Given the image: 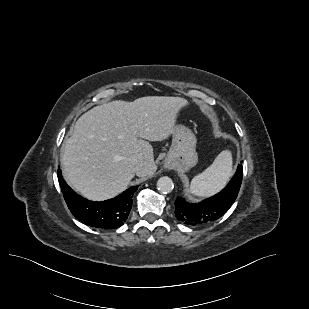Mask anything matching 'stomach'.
Instances as JSON below:
<instances>
[{
	"label": "stomach",
	"instance_id": "stomach-1",
	"mask_svg": "<svg viewBox=\"0 0 309 309\" xmlns=\"http://www.w3.org/2000/svg\"><path fill=\"white\" fill-rule=\"evenodd\" d=\"M195 134L182 124L175 125L172 131V145L165 159L166 166H175L186 172L198 162Z\"/></svg>",
	"mask_w": 309,
	"mask_h": 309
}]
</instances>
